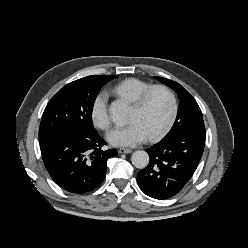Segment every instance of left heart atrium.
Returning <instances> with one entry per match:
<instances>
[{"instance_id": "obj_1", "label": "left heart atrium", "mask_w": 248, "mask_h": 248, "mask_svg": "<svg viewBox=\"0 0 248 248\" xmlns=\"http://www.w3.org/2000/svg\"><path fill=\"white\" fill-rule=\"evenodd\" d=\"M148 138V134L138 122L115 128L107 135L112 145L120 147H133L145 142Z\"/></svg>"}]
</instances>
